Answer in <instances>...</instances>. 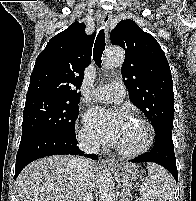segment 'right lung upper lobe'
Instances as JSON below:
<instances>
[{
  "mask_svg": "<svg viewBox=\"0 0 196 201\" xmlns=\"http://www.w3.org/2000/svg\"><path fill=\"white\" fill-rule=\"evenodd\" d=\"M85 24L77 21L50 39L39 54L26 100L50 98L79 101L77 92L83 79L84 69L91 62L95 33L85 34Z\"/></svg>",
  "mask_w": 196,
  "mask_h": 201,
  "instance_id": "1",
  "label": "right lung upper lobe"
}]
</instances>
